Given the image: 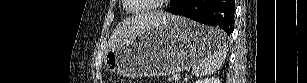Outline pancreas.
Returning a JSON list of instances; mask_svg holds the SVG:
<instances>
[{
	"instance_id": "obj_1",
	"label": "pancreas",
	"mask_w": 307,
	"mask_h": 83,
	"mask_svg": "<svg viewBox=\"0 0 307 83\" xmlns=\"http://www.w3.org/2000/svg\"><path fill=\"white\" fill-rule=\"evenodd\" d=\"M168 81H169V83H173V82H174V78L169 77V78H168Z\"/></svg>"
}]
</instances>
